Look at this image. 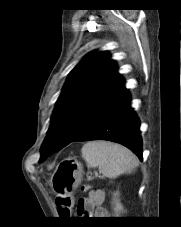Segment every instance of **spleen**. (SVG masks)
<instances>
[{"label": "spleen", "instance_id": "spleen-1", "mask_svg": "<svg viewBox=\"0 0 181 227\" xmlns=\"http://www.w3.org/2000/svg\"><path fill=\"white\" fill-rule=\"evenodd\" d=\"M81 153L88 167H97L103 176L112 179L135 171L139 164L129 149L107 141L87 142Z\"/></svg>", "mask_w": 181, "mask_h": 227}]
</instances>
